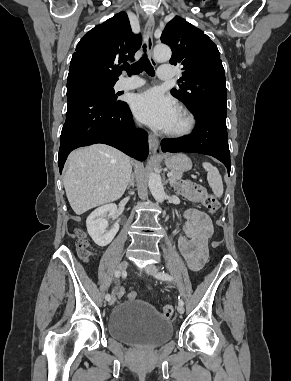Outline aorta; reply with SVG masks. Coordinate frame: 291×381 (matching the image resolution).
Returning a JSON list of instances; mask_svg holds the SVG:
<instances>
[{"mask_svg":"<svg viewBox=\"0 0 291 381\" xmlns=\"http://www.w3.org/2000/svg\"><path fill=\"white\" fill-rule=\"evenodd\" d=\"M153 52L157 61H168L171 58V49L167 45L158 44L154 47ZM148 186L155 200L162 203L165 199V192L160 176L151 173L148 178Z\"/></svg>","mask_w":291,"mask_h":381,"instance_id":"762f6f07","label":"aorta"}]
</instances>
